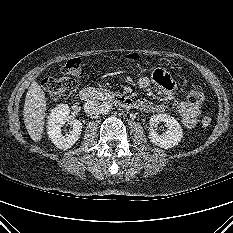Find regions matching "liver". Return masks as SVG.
I'll return each instance as SVG.
<instances>
[{
	"label": "liver",
	"instance_id": "6515ba94",
	"mask_svg": "<svg viewBox=\"0 0 233 233\" xmlns=\"http://www.w3.org/2000/svg\"><path fill=\"white\" fill-rule=\"evenodd\" d=\"M46 97L41 86L32 82L24 104L23 119L29 136L35 142L42 139L44 130V118L46 114Z\"/></svg>",
	"mask_w": 233,
	"mask_h": 233
}]
</instances>
